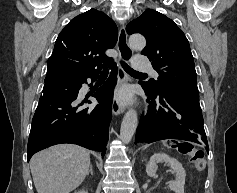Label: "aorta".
<instances>
[{
	"label": "aorta",
	"mask_w": 237,
	"mask_h": 193,
	"mask_svg": "<svg viewBox=\"0 0 237 193\" xmlns=\"http://www.w3.org/2000/svg\"><path fill=\"white\" fill-rule=\"evenodd\" d=\"M129 46L132 49H143L146 46V40L141 34H132L129 37ZM138 125L137 112L134 109H130L126 112L120 129V139L123 143L128 144Z\"/></svg>",
	"instance_id": "obj_1"
}]
</instances>
